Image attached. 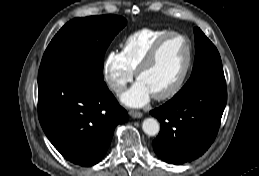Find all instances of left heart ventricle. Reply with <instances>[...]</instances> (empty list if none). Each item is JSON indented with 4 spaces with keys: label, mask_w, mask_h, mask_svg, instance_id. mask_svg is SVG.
<instances>
[{
    "label": "left heart ventricle",
    "mask_w": 259,
    "mask_h": 176,
    "mask_svg": "<svg viewBox=\"0 0 259 176\" xmlns=\"http://www.w3.org/2000/svg\"><path fill=\"white\" fill-rule=\"evenodd\" d=\"M187 55V43L178 36L170 37L162 46L155 61L139 77L152 95L167 90L181 74Z\"/></svg>",
    "instance_id": "1"
}]
</instances>
